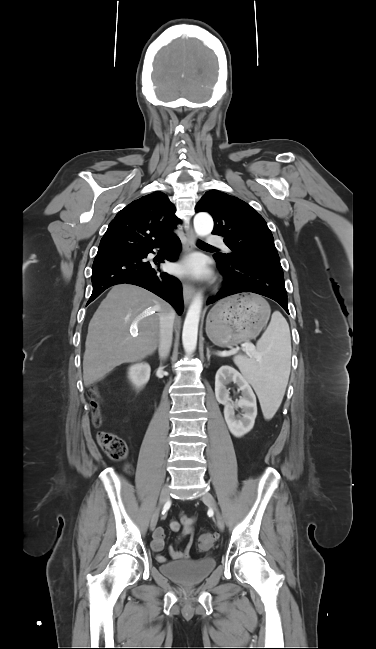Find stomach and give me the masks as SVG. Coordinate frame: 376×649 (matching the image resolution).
<instances>
[{
	"label": "stomach",
	"instance_id": "obj_1",
	"mask_svg": "<svg viewBox=\"0 0 376 649\" xmlns=\"http://www.w3.org/2000/svg\"><path fill=\"white\" fill-rule=\"evenodd\" d=\"M270 306L262 297L242 294L218 302L209 312L206 333L219 347L255 338L267 324Z\"/></svg>",
	"mask_w": 376,
	"mask_h": 649
}]
</instances>
